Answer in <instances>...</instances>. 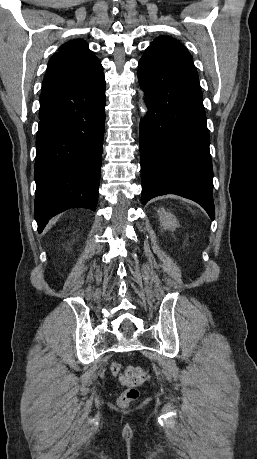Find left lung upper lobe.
<instances>
[{
  "label": "left lung upper lobe",
  "mask_w": 257,
  "mask_h": 459,
  "mask_svg": "<svg viewBox=\"0 0 257 459\" xmlns=\"http://www.w3.org/2000/svg\"><path fill=\"white\" fill-rule=\"evenodd\" d=\"M144 54H153L161 57H188L191 58L187 49L177 40L171 37H158L154 39Z\"/></svg>",
  "instance_id": "1"
}]
</instances>
